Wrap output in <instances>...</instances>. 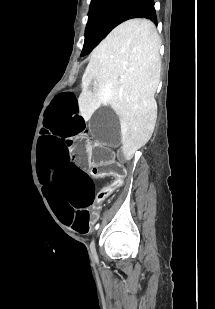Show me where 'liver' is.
<instances>
[{"instance_id":"liver-1","label":"liver","mask_w":215,"mask_h":309,"mask_svg":"<svg viewBox=\"0 0 215 309\" xmlns=\"http://www.w3.org/2000/svg\"><path fill=\"white\" fill-rule=\"evenodd\" d=\"M159 48L160 36L154 22L130 18L113 28L92 50L82 76L78 102L83 118L89 120L100 104H110L119 116L127 161L148 142L154 130ZM92 80L97 82L94 92L89 88Z\"/></svg>"}]
</instances>
